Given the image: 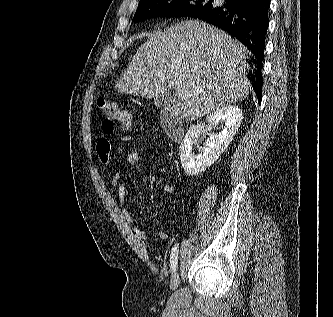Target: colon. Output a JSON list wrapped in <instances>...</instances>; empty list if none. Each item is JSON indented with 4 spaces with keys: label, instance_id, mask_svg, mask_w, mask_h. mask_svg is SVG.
<instances>
[{
    "label": "colon",
    "instance_id": "1",
    "mask_svg": "<svg viewBox=\"0 0 333 317\" xmlns=\"http://www.w3.org/2000/svg\"><path fill=\"white\" fill-rule=\"evenodd\" d=\"M100 108L104 114L101 120V130L104 134L113 133L116 126L126 130L132 123V115L126 108L115 103L102 104Z\"/></svg>",
    "mask_w": 333,
    "mask_h": 317
}]
</instances>
